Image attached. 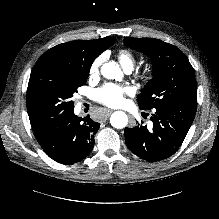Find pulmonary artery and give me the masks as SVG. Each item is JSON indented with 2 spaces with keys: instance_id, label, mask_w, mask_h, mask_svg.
<instances>
[{
  "instance_id": "pulmonary-artery-1",
  "label": "pulmonary artery",
  "mask_w": 219,
  "mask_h": 219,
  "mask_svg": "<svg viewBox=\"0 0 219 219\" xmlns=\"http://www.w3.org/2000/svg\"><path fill=\"white\" fill-rule=\"evenodd\" d=\"M125 71H126L127 73H130V72L132 71V69H131V68H127V69H125Z\"/></svg>"
}]
</instances>
